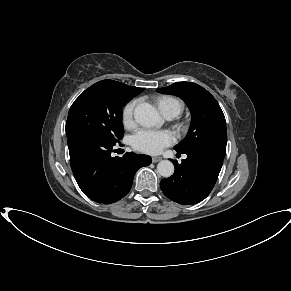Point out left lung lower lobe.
<instances>
[{"label":"left lung lower lobe","instance_id":"left-lung-lower-lobe-1","mask_svg":"<svg viewBox=\"0 0 291 291\" xmlns=\"http://www.w3.org/2000/svg\"><path fill=\"white\" fill-rule=\"evenodd\" d=\"M177 151V150H176ZM181 164L174 162V174L160 182L166 197L179 204L191 205L204 200L213 189L226 151L193 148L185 152Z\"/></svg>","mask_w":291,"mask_h":291}]
</instances>
